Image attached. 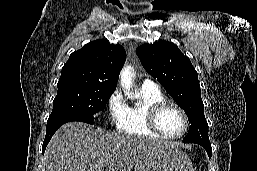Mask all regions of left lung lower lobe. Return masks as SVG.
Wrapping results in <instances>:
<instances>
[{
    "instance_id": "left-lung-lower-lobe-1",
    "label": "left lung lower lobe",
    "mask_w": 257,
    "mask_h": 171,
    "mask_svg": "<svg viewBox=\"0 0 257 171\" xmlns=\"http://www.w3.org/2000/svg\"><path fill=\"white\" fill-rule=\"evenodd\" d=\"M199 145H201L206 151L209 157L212 156V148H211V144L208 141H199V142H195Z\"/></svg>"
}]
</instances>
